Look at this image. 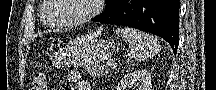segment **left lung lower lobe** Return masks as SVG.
I'll use <instances>...</instances> for the list:
<instances>
[{"label": "left lung lower lobe", "instance_id": "0a47b994", "mask_svg": "<svg viewBox=\"0 0 216 90\" xmlns=\"http://www.w3.org/2000/svg\"><path fill=\"white\" fill-rule=\"evenodd\" d=\"M179 0H120L93 21L137 28L165 39L174 53L179 43Z\"/></svg>", "mask_w": 216, "mask_h": 90}]
</instances>
